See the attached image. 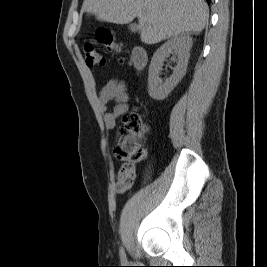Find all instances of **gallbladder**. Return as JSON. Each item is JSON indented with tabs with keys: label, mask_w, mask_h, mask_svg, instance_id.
Segmentation results:
<instances>
[{
	"label": "gallbladder",
	"mask_w": 267,
	"mask_h": 267,
	"mask_svg": "<svg viewBox=\"0 0 267 267\" xmlns=\"http://www.w3.org/2000/svg\"><path fill=\"white\" fill-rule=\"evenodd\" d=\"M129 29L131 31H137L138 30V25L135 24V23H132V24L129 25Z\"/></svg>",
	"instance_id": "obj_1"
}]
</instances>
